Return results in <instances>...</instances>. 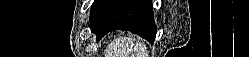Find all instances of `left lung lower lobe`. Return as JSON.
I'll return each instance as SVG.
<instances>
[{
  "mask_svg": "<svg viewBox=\"0 0 249 57\" xmlns=\"http://www.w3.org/2000/svg\"><path fill=\"white\" fill-rule=\"evenodd\" d=\"M90 28L97 40L120 29L138 34L153 44L156 27L151 0H107L91 18Z\"/></svg>",
  "mask_w": 249,
  "mask_h": 57,
  "instance_id": "obj_1",
  "label": "left lung lower lobe"
}]
</instances>
